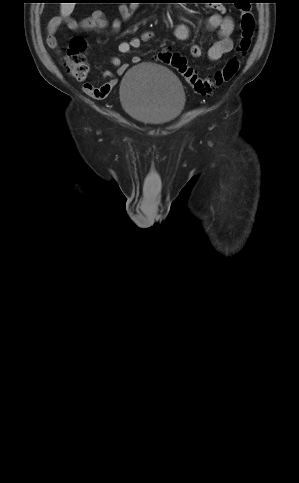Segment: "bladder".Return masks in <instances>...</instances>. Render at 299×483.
I'll return each instance as SVG.
<instances>
[{
  "label": "bladder",
  "mask_w": 299,
  "mask_h": 483,
  "mask_svg": "<svg viewBox=\"0 0 299 483\" xmlns=\"http://www.w3.org/2000/svg\"><path fill=\"white\" fill-rule=\"evenodd\" d=\"M119 96L123 109L131 117L153 126L175 121L186 104L177 76L150 62L127 70L120 83Z\"/></svg>",
  "instance_id": "bladder-1"
}]
</instances>
